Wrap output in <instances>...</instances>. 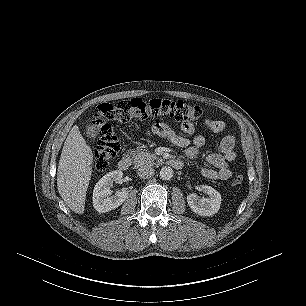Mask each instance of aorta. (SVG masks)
<instances>
[{
    "instance_id": "1",
    "label": "aorta",
    "mask_w": 306,
    "mask_h": 306,
    "mask_svg": "<svg viewBox=\"0 0 306 306\" xmlns=\"http://www.w3.org/2000/svg\"><path fill=\"white\" fill-rule=\"evenodd\" d=\"M173 177V170L171 167H162L160 170V178L163 180H170Z\"/></svg>"
}]
</instances>
